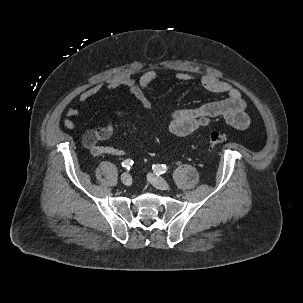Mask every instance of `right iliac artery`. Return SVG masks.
I'll return each mask as SVG.
<instances>
[{
  "label": "right iliac artery",
  "instance_id": "right-iliac-artery-1",
  "mask_svg": "<svg viewBox=\"0 0 303 303\" xmlns=\"http://www.w3.org/2000/svg\"><path fill=\"white\" fill-rule=\"evenodd\" d=\"M121 165H122L123 168L129 169V168L133 165V160H131V159H126V160H124V161L122 162Z\"/></svg>",
  "mask_w": 303,
  "mask_h": 303
}]
</instances>
